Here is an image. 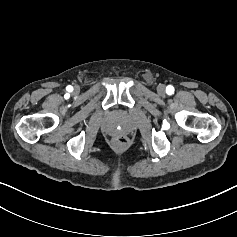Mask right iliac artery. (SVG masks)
<instances>
[{
	"label": "right iliac artery",
	"instance_id": "82829eb1",
	"mask_svg": "<svg viewBox=\"0 0 237 237\" xmlns=\"http://www.w3.org/2000/svg\"><path fill=\"white\" fill-rule=\"evenodd\" d=\"M69 90L72 91V90H73V87H72V86H69Z\"/></svg>",
	"mask_w": 237,
	"mask_h": 237
}]
</instances>
